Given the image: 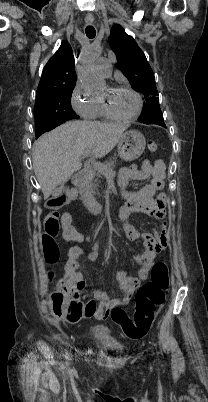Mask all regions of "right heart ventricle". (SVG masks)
Listing matches in <instances>:
<instances>
[{
	"label": "right heart ventricle",
	"mask_w": 208,
	"mask_h": 402,
	"mask_svg": "<svg viewBox=\"0 0 208 402\" xmlns=\"http://www.w3.org/2000/svg\"><path fill=\"white\" fill-rule=\"evenodd\" d=\"M93 120L94 123L97 125H108L110 123L117 121L115 118H113L108 114V112L105 110L99 99H98L96 115Z\"/></svg>",
	"instance_id": "1"
}]
</instances>
